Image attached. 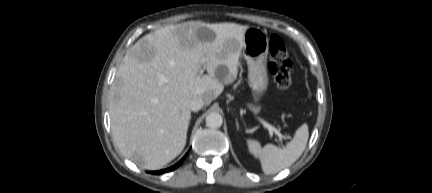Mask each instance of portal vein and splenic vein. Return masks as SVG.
<instances>
[{
    "label": "portal vein and splenic vein",
    "instance_id": "obj_1",
    "mask_svg": "<svg viewBox=\"0 0 432 193\" xmlns=\"http://www.w3.org/2000/svg\"><path fill=\"white\" fill-rule=\"evenodd\" d=\"M258 120L263 124L264 127H266L268 129L270 135L275 133V135H277L279 137L280 141H282L284 136L280 133L279 130H277L275 127H273L272 125H270L268 122H266L265 120H263L260 117H258Z\"/></svg>",
    "mask_w": 432,
    "mask_h": 193
}]
</instances>
